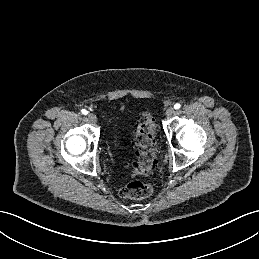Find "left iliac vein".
<instances>
[{
	"label": "left iliac vein",
	"instance_id": "1",
	"mask_svg": "<svg viewBox=\"0 0 259 259\" xmlns=\"http://www.w3.org/2000/svg\"><path fill=\"white\" fill-rule=\"evenodd\" d=\"M175 113V109L173 107L167 108L165 114L167 117H171Z\"/></svg>",
	"mask_w": 259,
	"mask_h": 259
}]
</instances>
